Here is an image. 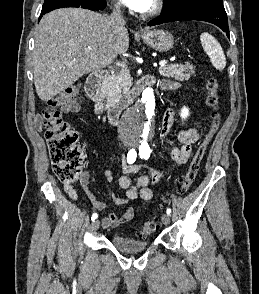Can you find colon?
<instances>
[{
	"label": "colon",
	"mask_w": 259,
	"mask_h": 294,
	"mask_svg": "<svg viewBox=\"0 0 259 294\" xmlns=\"http://www.w3.org/2000/svg\"><path fill=\"white\" fill-rule=\"evenodd\" d=\"M207 104L211 109L208 128L198 145L190 165L185 174L180 178L176 192L186 193L192 186L199 171L207 148L217 132L221 115L219 112L218 82L216 78H209L207 85ZM79 89L71 86L48 101L43 111L45 119V137L49 152L53 161V171L56 177L63 183H75L81 174L83 153L78 145V135L75 130L62 119L60 109L62 106L73 102ZM159 220L156 216L150 217L139 227V235L142 237L154 234L159 229Z\"/></svg>",
	"instance_id": "colon-1"
}]
</instances>
